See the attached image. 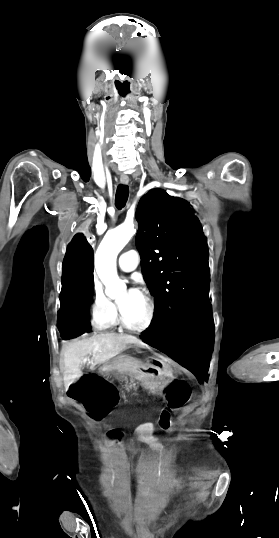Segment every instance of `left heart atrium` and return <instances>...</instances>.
Wrapping results in <instances>:
<instances>
[{
  "label": "left heart atrium",
  "instance_id": "left-heart-atrium-1",
  "mask_svg": "<svg viewBox=\"0 0 279 538\" xmlns=\"http://www.w3.org/2000/svg\"><path fill=\"white\" fill-rule=\"evenodd\" d=\"M130 292H133V293H135V290H130Z\"/></svg>",
  "mask_w": 279,
  "mask_h": 538
}]
</instances>
